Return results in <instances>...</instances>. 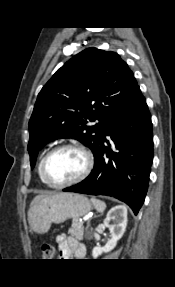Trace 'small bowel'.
<instances>
[{"instance_id": "obj_1", "label": "small bowel", "mask_w": 175, "mask_h": 287, "mask_svg": "<svg viewBox=\"0 0 175 287\" xmlns=\"http://www.w3.org/2000/svg\"><path fill=\"white\" fill-rule=\"evenodd\" d=\"M59 247V257L62 259H69L74 257L76 259H84L87 254L85 245L79 243L72 237L66 235H58L56 238Z\"/></svg>"}]
</instances>
